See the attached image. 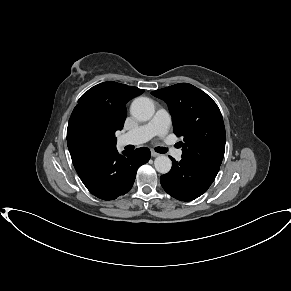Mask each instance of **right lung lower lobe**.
Listing matches in <instances>:
<instances>
[{"mask_svg":"<svg viewBox=\"0 0 291 291\" xmlns=\"http://www.w3.org/2000/svg\"><path fill=\"white\" fill-rule=\"evenodd\" d=\"M73 165L86 188L102 200H113L133 186L137 169L148 162L150 150L138 148L120 155L114 148L68 140Z\"/></svg>","mask_w":291,"mask_h":291,"instance_id":"1","label":"right lung lower lobe"}]
</instances>
